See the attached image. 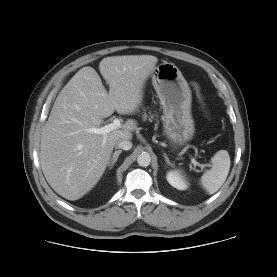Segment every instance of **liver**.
<instances>
[{
  "label": "liver",
  "mask_w": 277,
  "mask_h": 277,
  "mask_svg": "<svg viewBox=\"0 0 277 277\" xmlns=\"http://www.w3.org/2000/svg\"><path fill=\"white\" fill-rule=\"evenodd\" d=\"M157 62L152 55L106 57L99 70L109 92L90 66L81 68L60 91L42 129L39 156L43 174L57 194L71 201L83 197L102 177L116 142L132 138V119L105 135L87 129L99 128L114 111L133 113Z\"/></svg>",
  "instance_id": "obj_1"
}]
</instances>
